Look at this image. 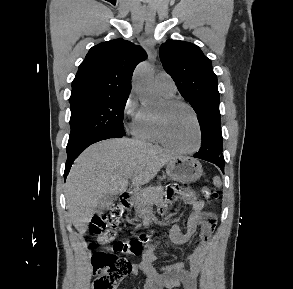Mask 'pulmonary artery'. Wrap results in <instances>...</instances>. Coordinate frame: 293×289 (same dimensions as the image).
<instances>
[{
    "label": "pulmonary artery",
    "instance_id": "e3ab8cb5",
    "mask_svg": "<svg viewBox=\"0 0 293 289\" xmlns=\"http://www.w3.org/2000/svg\"><path fill=\"white\" fill-rule=\"evenodd\" d=\"M155 86L163 94H174L176 90L172 77L165 72L159 73L155 77Z\"/></svg>",
    "mask_w": 293,
    "mask_h": 289
}]
</instances>
